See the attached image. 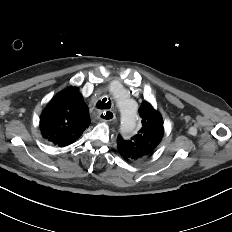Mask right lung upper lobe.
I'll list each match as a JSON object with an SVG mask.
<instances>
[{
	"instance_id": "right-lung-upper-lobe-1",
	"label": "right lung upper lobe",
	"mask_w": 232,
	"mask_h": 232,
	"mask_svg": "<svg viewBox=\"0 0 232 232\" xmlns=\"http://www.w3.org/2000/svg\"><path fill=\"white\" fill-rule=\"evenodd\" d=\"M90 125L88 107L76 87L55 95L40 116L44 139L59 147L75 142Z\"/></svg>"
}]
</instances>
